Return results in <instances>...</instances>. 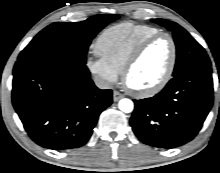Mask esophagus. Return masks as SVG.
Segmentation results:
<instances>
[{
  "label": "esophagus",
  "mask_w": 220,
  "mask_h": 173,
  "mask_svg": "<svg viewBox=\"0 0 220 173\" xmlns=\"http://www.w3.org/2000/svg\"><path fill=\"white\" fill-rule=\"evenodd\" d=\"M123 97H124V95L122 93H120V92H118L116 90L113 92V100L115 102H117L118 100H120Z\"/></svg>",
  "instance_id": "obj_1"
}]
</instances>
